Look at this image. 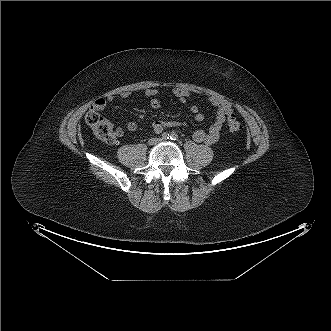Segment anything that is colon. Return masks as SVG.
I'll use <instances>...</instances> for the list:
<instances>
[{
    "instance_id": "obj_1",
    "label": "colon",
    "mask_w": 331,
    "mask_h": 331,
    "mask_svg": "<svg viewBox=\"0 0 331 331\" xmlns=\"http://www.w3.org/2000/svg\"><path fill=\"white\" fill-rule=\"evenodd\" d=\"M86 123L92 129L95 136L106 143L114 144L121 135V131L114 129L111 122L96 110L91 109L86 114ZM227 127L230 132L237 133L241 130L242 125L234 115H231L228 118Z\"/></svg>"
}]
</instances>
